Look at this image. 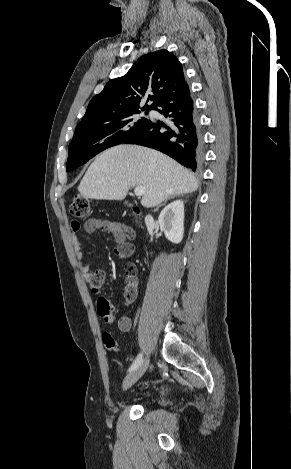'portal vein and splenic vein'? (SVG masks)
Masks as SVG:
<instances>
[{"mask_svg": "<svg viewBox=\"0 0 291 469\" xmlns=\"http://www.w3.org/2000/svg\"><path fill=\"white\" fill-rule=\"evenodd\" d=\"M145 192V188L142 186H138L135 188L134 193L136 196H142Z\"/></svg>", "mask_w": 291, "mask_h": 469, "instance_id": "1", "label": "portal vein and splenic vein"}]
</instances>
